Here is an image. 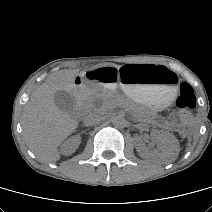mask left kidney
I'll return each mask as SVG.
<instances>
[{
	"label": "left kidney",
	"mask_w": 212,
	"mask_h": 212,
	"mask_svg": "<svg viewBox=\"0 0 212 212\" xmlns=\"http://www.w3.org/2000/svg\"><path fill=\"white\" fill-rule=\"evenodd\" d=\"M151 137L158 144L159 155L164 162H172L179 153V143L174 135L169 132L155 130ZM136 149L142 158H147L151 153L145 145L138 139Z\"/></svg>",
	"instance_id": "5707ae66"
}]
</instances>
